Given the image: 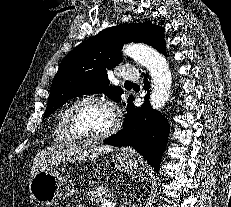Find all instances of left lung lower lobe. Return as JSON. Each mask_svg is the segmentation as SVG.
Instances as JSON below:
<instances>
[{
    "label": "left lung lower lobe",
    "mask_w": 231,
    "mask_h": 207,
    "mask_svg": "<svg viewBox=\"0 0 231 207\" xmlns=\"http://www.w3.org/2000/svg\"><path fill=\"white\" fill-rule=\"evenodd\" d=\"M165 55V48L161 51ZM145 74L144 88L149 91L150 85ZM135 108L132 101L127 106L124 128L104 142L113 146H133L148 162L159 170L160 161L168 141L169 125L162 114L157 113L148 102Z\"/></svg>",
    "instance_id": "0a47b994"
}]
</instances>
